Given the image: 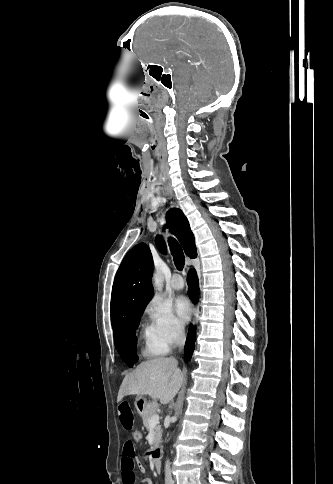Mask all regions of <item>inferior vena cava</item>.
<instances>
[{
    "instance_id": "602c4592",
    "label": "inferior vena cava",
    "mask_w": 333,
    "mask_h": 484,
    "mask_svg": "<svg viewBox=\"0 0 333 484\" xmlns=\"http://www.w3.org/2000/svg\"><path fill=\"white\" fill-rule=\"evenodd\" d=\"M176 343L179 347H183L185 344V334L183 328H178L176 330ZM165 484H174L169 461L165 464Z\"/></svg>"
}]
</instances>
